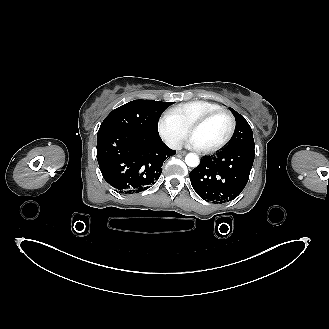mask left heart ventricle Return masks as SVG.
<instances>
[{
  "instance_id": "left-heart-ventricle-1",
  "label": "left heart ventricle",
  "mask_w": 329,
  "mask_h": 329,
  "mask_svg": "<svg viewBox=\"0 0 329 329\" xmlns=\"http://www.w3.org/2000/svg\"><path fill=\"white\" fill-rule=\"evenodd\" d=\"M229 128L228 117L219 115L197 127L191 136L195 138L200 148H209L220 143L227 136Z\"/></svg>"
}]
</instances>
